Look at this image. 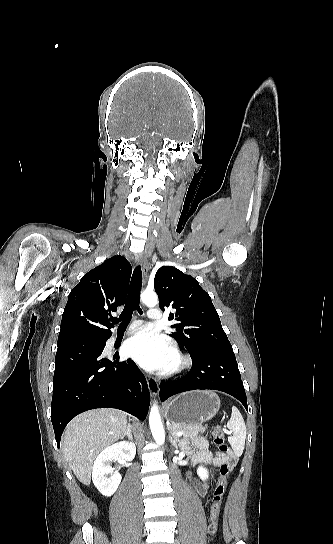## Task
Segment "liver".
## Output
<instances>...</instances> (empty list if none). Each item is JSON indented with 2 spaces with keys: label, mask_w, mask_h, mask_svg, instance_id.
Here are the masks:
<instances>
[{
  "label": "liver",
  "mask_w": 333,
  "mask_h": 544,
  "mask_svg": "<svg viewBox=\"0 0 333 544\" xmlns=\"http://www.w3.org/2000/svg\"><path fill=\"white\" fill-rule=\"evenodd\" d=\"M126 416L120 410L98 409L80 414L65 429L62 453L78 480L90 485L97 455L124 437Z\"/></svg>",
  "instance_id": "1"
}]
</instances>
